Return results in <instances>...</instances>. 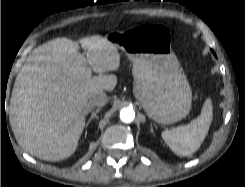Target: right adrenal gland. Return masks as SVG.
I'll return each instance as SVG.
<instances>
[{"label":"right adrenal gland","instance_id":"2a0ac1e0","mask_svg":"<svg viewBox=\"0 0 245 187\" xmlns=\"http://www.w3.org/2000/svg\"><path fill=\"white\" fill-rule=\"evenodd\" d=\"M100 110H101V108H97L96 110H94V111L91 112V116H90L88 122L86 123V127H88V125L90 124V122H91L93 119L98 120L97 113H98Z\"/></svg>","mask_w":245,"mask_h":187}]
</instances>
